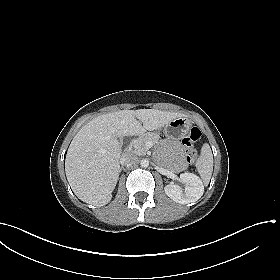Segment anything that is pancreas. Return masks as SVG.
I'll list each match as a JSON object with an SVG mask.
<instances>
[{
    "label": "pancreas",
    "instance_id": "obj_1",
    "mask_svg": "<svg viewBox=\"0 0 280 280\" xmlns=\"http://www.w3.org/2000/svg\"><path fill=\"white\" fill-rule=\"evenodd\" d=\"M159 138V135L156 133L148 132L142 134L132 142V146L134 147V153L137 155H145L148 150L147 142L151 141L153 143H157Z\"/></svg>",
    "mask_w": 280,
    "mask_h": 280
}]
</instances>
